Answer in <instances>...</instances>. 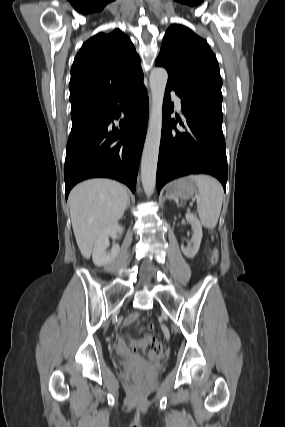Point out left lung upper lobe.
Here are the masks:
<instances>
[{"mask_svg":"<svg viewBox=\"0 0 285 427\" xmlns=\"http://www.w3.org/2000/svg\"><path fill=\"white\" fill-rule=\"evenodd\" d=\"M155 64L168 71L167 85L193 102L221 109L222 79L208 43L189 28L173 24L163 38Z\"/></svg>","mask_w":285,"mask_h":427,"instance_id":"left-lung-upper-lobe-1","label":"left lung upper lobe"}]
</instances>
